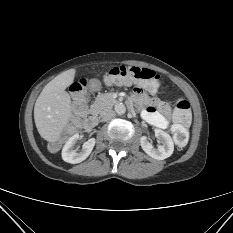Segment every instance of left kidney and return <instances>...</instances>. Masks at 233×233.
<instances>
[{
  "instance_id": "obj_1",
  "label": "left kidney",
  "mask_w": 233,
  "mask_h": 233,
  "mask_svg": "<svg viewBox=\"0 0 233 233\" xmlns=\"http://www.w3.org/2000/svg\"><path fill=\"white\" fill-rule=\"evenodd\" d=\"M155 136L160 139L161 145L155 148L148 140L146 136H142L140 144L143 151L150 157L157 160H164L170 157L174 151V143L169 134L161 129H155Z\"/></svg>"
}]
</instances>
